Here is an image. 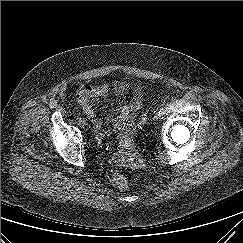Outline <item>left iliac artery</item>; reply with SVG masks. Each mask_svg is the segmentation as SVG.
<instances>
[{
  "label": "left iliac artery",
  "mask_w": 243,
  "mask_h": 243,
  "mask_svg": "<svg viewBox=\"0 0 243 243\" xmlns=\"http://www.w3.org/2000/svg\"><path fill=\"white\" fill-rule=\"evenodd\" d=\"M163 113H164V109L161 108V109L159 110V114L162 115Z\"/></svg>",
  "instance_id": "left-iliac-artery-1"
}]
</instances>
